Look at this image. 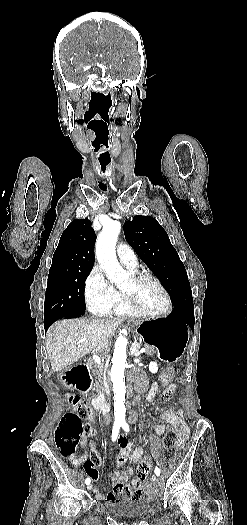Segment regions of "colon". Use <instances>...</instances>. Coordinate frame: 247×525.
<instances>
[{"instance_id":"1","label":"colon","mask_w":247,"mask_h":525,"mask_svg":"<svg viewBox=\"0 0 247 525\" xmlns=\"http://www.w3.org/2000/svg\"><path fill=\"white\" fill-rule=\"evenodd\" d=\"M178 370L176 368L166 369L163 373L157 376V386L162 392L159 395H163V392L167 390L165 384L168 383L169 379L173 375H176ZM70 401L73 407V411L68 412L64 415L60 421L58 428L55 432V442L59 449L60 454L63 457H70L75 454L76 448L86 431V422L89 418L90 408L80 396L71 395ZM178 441L176 430L168 424L167 431L162 439V447L165 450H171ZM151 470V460L148 459L141 462L138 466L136 473V481L144 482Z\"/></svg>"}]
</instances>
